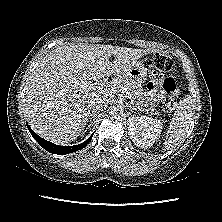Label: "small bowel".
Here are the masks:
<instances>
[{"label":"small bowel","mask_w":222,"mask_h":222,"mask_svg":"<svg viewBox=\"0 0 222 222\" xmlns=\"http://www.w3.org/2000/svg\"><path fill=\"white\" fill-rule=\"evenodd\" d=\"M162 80L160 78H153L149 84V97L151 99H162L163 98V89H162Z\"/></svg>","instance_id":"obj_1"}]
</instances>
